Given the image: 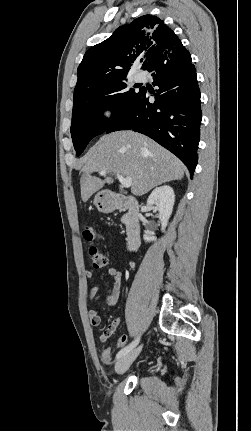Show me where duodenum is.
I'll use <instances>...</instances> for the list:
<instances>
[{
	"label": "duodenum",
	"instance_id": "410a0bca",
	"mask_svg": "<svg viewBox=\"0 0 251 431\" xmlns=\"http://www.w3.org/2000/svg\"><path fill=\"white\" fill-rule=\"evenodd\" d=\"M110 207L113 210L125 211L126 242L129 250H135L140 244L139 205L128 196L116 194L112 197Z\"/></svg>",
	"mask_w": 251,
	"mask_h": 431
}]
</instances>
